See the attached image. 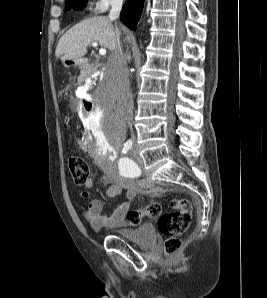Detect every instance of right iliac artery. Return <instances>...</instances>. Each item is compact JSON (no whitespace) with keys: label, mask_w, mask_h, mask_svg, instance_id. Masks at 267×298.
Returning a JSON list of instances; mask_svg holds the SVG:
<instances>
[{"label":"right iliac artery","mask_w":267,"mask_h":298,"mask_svg":"<svg viewBox=\"0 0 267 298\" xmlns=\"http://www.w3.org/2000/svg\"><path fill=\"white\" fill-rule=\"evenodd\" d=\"M132 140H128L124 143L123 153H127L132 148Z\"/></svg>","instance_id":"right-iliac-artery-1"}]
</instances>
